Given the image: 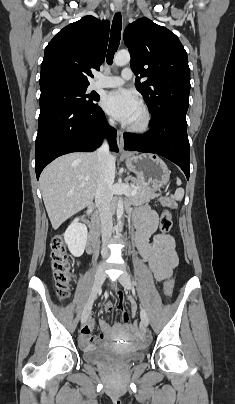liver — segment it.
<instances>
[{"label":"liver","instance_id":"obj_1","mask_svg":"<svg viewBox=\"0 0 235 404\" xmlns=\"http://www.w3.org/2000/svg\"><path fill=\"white\" fill-rule=\"evenodd\" d=\"M98 173L96 153L81 152L63 155L43 170L40 189L53 229L92 203Z\"/></svg>","mask_w":235,"mask_h":404}]
</instances>
